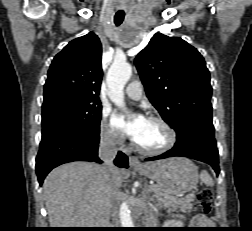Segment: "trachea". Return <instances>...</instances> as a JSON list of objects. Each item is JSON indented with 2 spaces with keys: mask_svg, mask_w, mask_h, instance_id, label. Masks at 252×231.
<instances>
[{
  "mask_svg": "<svg viewBox=\"0 0 252 231\" xmlns=\"http://www.w3.org/2000/svg\"><path fill=\"white\" fill-rule=\"evenodd\" d=\"M125 17V13L124 12H117L114 16V22L116 26H119L120 24H122L123 20Z\"/></svg>",
  "mask_w": 252,
  "mask_h": 231,
  "instance_id": "obj_1",
  "label": "trachea"
}]
</instances>
